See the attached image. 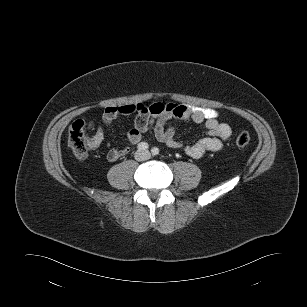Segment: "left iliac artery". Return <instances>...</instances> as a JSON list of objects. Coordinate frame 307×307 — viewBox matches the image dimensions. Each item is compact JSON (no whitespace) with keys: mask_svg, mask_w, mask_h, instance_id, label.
I'll use <instances>...</instances> for the list:
<instances>
[{"mask_svg":"<svg viewBox=\"0 0 307 307\" xmlns=\"http://www.w3.org/2000/svg\"><path fill=\"white\" fill-rule=\"evenodd\" d=\"M151 153H152V155H158L159 154V149L157 147H153L151 149Z\"/></svg>","mask_w":307,"mask_h":307,"instance_id":"left-iliac-artery-1","label":"left iliac artery"}]
</instances>
